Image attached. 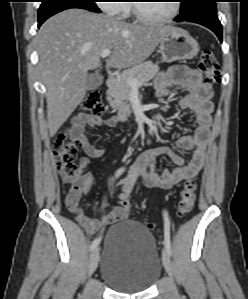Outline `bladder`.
I'll return each instance as SVG.
<instances>
[{
	"label": "bladder",
	"instance_id": "31cf9c89",
	"mask_svg": "<svg viewBox=\"0 0 248 299\" xmlns=\"http://www.w3.org/2000/svg\"><path fill=\"white\" fill-rule=\"evenodd\" d=\"M101 278L114 290L139 293L160 277L161 260L153 235L143 225L123 220L104 238Z\"/></svg>",
	"mask_w": 248,
	"mask_h": 299
}]
</instances>
